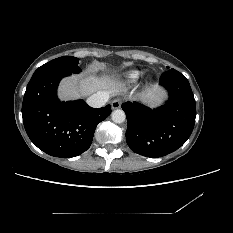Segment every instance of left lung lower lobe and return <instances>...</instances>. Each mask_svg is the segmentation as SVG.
I'll return each instance as SVG.
<instances>
[{
  "label": "left lung lower lobe",
  "instance_id": "0a47b994",
  "mask_svg": "<svg viewBox=\"0 0 233 233\" xmlns=\"http://www.w3.org/2000/svg\"><path fill=\"white\" fill-rule=\"evenodd\" d=\"M169 100L150 109L137 102H126L122 109L127 117L126 141L137 154L156 158L181 147L190 137L196 117L195 99L188 80L171 69L160 78Z\"/></svg>",
  "mask_w": 233,
  "mask_h": 233
}]
</instances>
